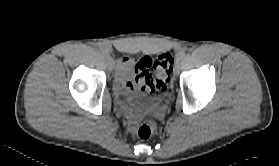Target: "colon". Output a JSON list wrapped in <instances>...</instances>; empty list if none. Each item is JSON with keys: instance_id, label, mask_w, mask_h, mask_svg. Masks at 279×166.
I'll return each mask as SVG.
<instances>
[{"instance_id": "1", "label": "colon", "mask_w": 279, "mask_h": 166, "mask_svg": "<svg viewBox=\"0 0 279 166\" xmlns=\"http://www.w3.org/2000/svg\"><path fill=\"white\" fill-rule=\"evenodd\" d=\"M173 62L174 58L170 53L160 54L154 60L147 56L139 59L133 68L136 87L147 93L164 91L170 82ZM156 128L155 120L147 119L140 125L137 134L141 139H148Z\"/></svg>"}]
</instances>
